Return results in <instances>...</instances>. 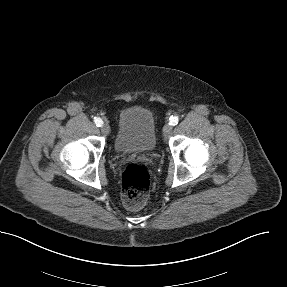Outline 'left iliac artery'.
Segmentation results:
<instances>
[{
	"label": "left iliac artery",
	"instance_id": "obj_1",
	"mask_svg": "<svg viewBox=\"0 0 287 287\" xmlns=\"http://www.w3.org/2000/svg\"><path fill=\"white\" fill-rule=\"evenodd\" d=\"M178 121H179V119H178L177 116H171V117L169 118V124L172 125V126L177 125V124H178Z\"/></svg>",
	"mask_w": 287,
	"mask_h": 287
}]
</instances>
